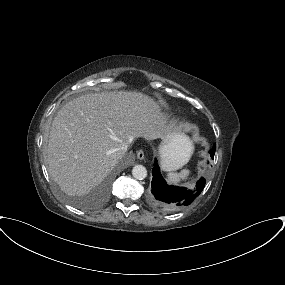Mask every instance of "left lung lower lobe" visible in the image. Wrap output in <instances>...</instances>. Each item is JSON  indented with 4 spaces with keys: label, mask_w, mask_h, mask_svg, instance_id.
Returning <instances> with one entry per match:
<instances>
[{
    "label": "left lung lower lobe",
    "mask_w": 285,
    "mask_h": 285,
    "mask_svg": "<svg viewBox=\"0 0 285 285\" xmlns=\"http://www.w3.org/2000/svg\"><path fill=\"white\" fill-rule=\"evenodd\" d=\"M216 146L210 151L213 159ZM151 202L158 208L165 211H176L190 205L194 199L202 192L205 186V179L200 178L194 191L187 190L184 187L169 186L163 179L158 164H154L152 169Z\"/></svg>",
    "instance_id": "obj_1"
}]
</instances>
